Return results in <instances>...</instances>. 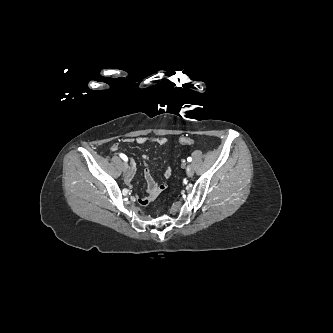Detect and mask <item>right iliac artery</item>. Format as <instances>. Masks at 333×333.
I'll return each mask as SVG.
<instances>
[{"mask_svg": "<svg viewBox=\"0 0 333 333\" xmlns=\"http://www.w3.org/2000/svg\"><path fill=\"white\" fill-rule=\"evenodd\" d=\"M120 157H121L125 162L128 161V158H127L126 155H124V154H120Z\"/></svg>", "mask_w": 333, "mask_h": 333, "instance_id": "1", "label": "right iliac artery"}]
</instances>
